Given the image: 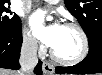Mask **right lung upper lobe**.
<instances>
[{
    "instance_id": "obj_1",
    "label": "right lung upper lobe",
    "mask_w": 102,
    "mask_h": 75,
    "mask_svg": "<svg viewBox=\"0 0 102 75\" xmlns=\"http://www.w3.org/2000/svg\"><path fill=\"white\" fill-rule=\"evenodd\" d=\"M0 1H10V0H0Z\"/></svg>"
}]
</instances>
